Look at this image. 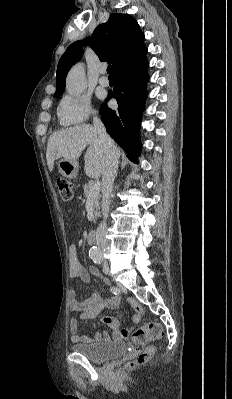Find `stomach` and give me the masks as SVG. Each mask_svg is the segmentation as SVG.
I'll list each match as a JSON object with an SVG mask.
<instances>
[{
    "label": "stomach",
    "mask_w": 232,
    "mask_h": 399,
    "mask_svg": "<svg viewBox=\"0 0 232 399\" xmlns=\"http://www.w3.org/2000/svg\"><path fill=\"white\" fill-rule=\"evenodd\" d=\"M58 172L64 178H68V180H74L78 174V162L77 160H59L58 164Z\"/></svg>",
    "instance_id": "1"
}]
</instances>
